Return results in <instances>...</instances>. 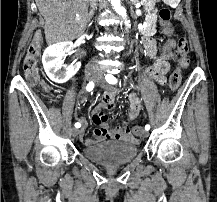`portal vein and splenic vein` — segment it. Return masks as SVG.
Listing matches in <instances>:
<instances>
[{
    "instance_id": "18ae733b",
    "label": "portal vein and splenic vein",
    "mask_w": 217,
    "mask_h": 202,
    "mask_svg": "<svg viewBox=\"0 0 217 202\" xmlns=\"http://www.w3.org/2000/svg\"><path fill=\"white\" fill-rule=\"evenodd\" d=\"M76 20H81V18H79L78 14H77V16H76Z\"/></svg>"
}]
</instances>
